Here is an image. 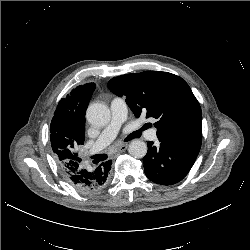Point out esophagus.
Here are the masks:
<instances>
[{
	"label": "esophagus",
	"instance_id": "obj_1",
	"mask_svg": "<svg viewBox=\"0 0 250 250\" xmlns=\"http://www.w3.org/2000/svg\"><path fill=\"white\" fill-rule=\"evenodd\" d=\"M127 148H128V144H127V143H124V144L118 145V146L116 147V150H117L118 152H124Z\"/></svg>",
	"mask_w": 250,
	"mask_h": 250
}]
</instances>
